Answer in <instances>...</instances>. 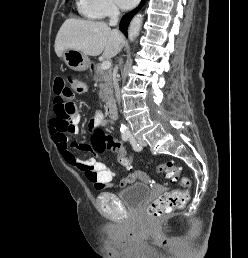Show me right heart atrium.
Returning <instances> with one entry per match:
<instances>
[{
  "instance_id": "d8ad5b80",
  "label": "right heart atrium",
  "mask_w": 248,
  "mask_h": 258,
  "mask_svg": "<svg viewBox=\"0 0 248 258\" xmlns=\"http://www.w3.org/2000/svg\"><path fill=\"white\" fill-rule=\"evenodd\" d=\"M80 12L89 18L103 19L118 9L113 0H80Z\"/></svg>"
}]
</instances>
